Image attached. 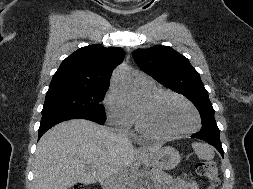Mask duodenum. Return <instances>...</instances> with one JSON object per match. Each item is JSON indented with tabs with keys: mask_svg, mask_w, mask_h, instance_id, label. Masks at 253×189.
Masks as SVG:
<instances>
[{
	"mask_svg": "<svg viewBox=\"0 0 253 189\" xmlns=\"http://www.w3.org/2000/svg\"><path fill=\"white\" fill-rule=\"evenodd\" d=\"M103 188H104V189H110V186H109L108 183H104V184H103Z\"/></svg>",
	"mask_w": 253,
	"mask_h": 189,
	"instance_id": "obj_1",
	"label": "duodenum"
}]
</instances>
